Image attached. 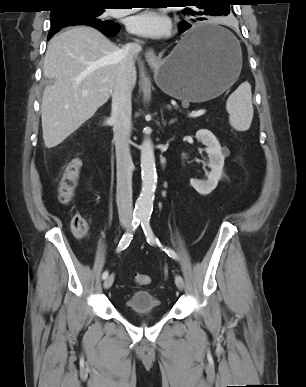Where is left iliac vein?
Here are the masks:
<instances>
[{
  "label": "left iliac vein",
  "mask_w": 306,
  "mask_h": 387,
  "mask_svg": "<svg viewBox=\"0 0 306 387\" xmlns=\"http://www.w3.org/2000/svg\"><path fill=\"white\" fill-rule=\"evenodd\" d=\"M175 284L179 290L184 289V280L180 275H176L175 277Z\"/></svg>",
  "instance_id": "1"
}]
</instances>
